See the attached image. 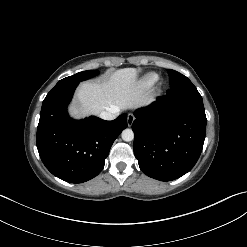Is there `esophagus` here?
Here are the masks:
<instances>
[{
  "label": "esophagus",
  "mask_w": 247,
  "mask_h": 247,
  "mask_svg": "<svg viewBox=\"0 0 247 247\" xmlns=\"http://www.w3.org/2000/svg\"><path fill=\"white\" fill-rule=\"evenodd\" d=\"M134 120H135V116L133 114H131V113L128 114V116H127V124H128L129 127L132 126Z\"/></svg>",
  "instance_id": "esophagus-1"
}]
</instances>
